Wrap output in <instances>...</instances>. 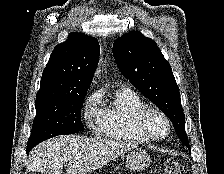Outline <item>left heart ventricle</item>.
Segmentation results:
<instances>
[{
	"mask_svg": "<svg viewBox=\"0 0 224 174\" xmlns=\"http://www.w3.org/2000/svg\"><path fill=\"white\" fill-rule=\"evenodd\" d=\"M147 126L149 131L157 136H162L166 133V123L165 121L157 114L149 115L147 119Z\"/></svg>",
	"mask_w": 224,
	"mask_h": 174,
	"instance_id": "obj_1",
	"label": "left heart ventricle"
}]
</instances>
